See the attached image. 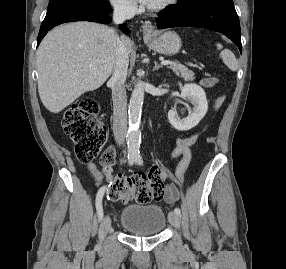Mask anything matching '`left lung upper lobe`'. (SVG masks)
Wrapping results in <instances>:
<instances>
[{
	"mask_svg": "<svg viewBox=\"0 0 286 269\" xmlns=\"http://www.w3.org/2000/svg\"><path fill=\"white\" fill-rule=\"evenodd\" d=\"M202 0H178L177 6L178 7H187L190 6L196 2H199Z\"/></svg>",
	"mask_w": 286,
	"mask_h": 269,
	"instance_id": "obj_1",
	"label": "left lung upper lobe"
}]
</instances>
